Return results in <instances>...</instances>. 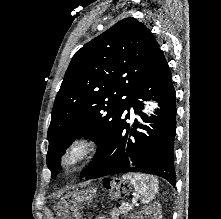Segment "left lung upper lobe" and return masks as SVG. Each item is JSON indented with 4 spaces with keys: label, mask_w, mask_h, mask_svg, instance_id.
Returning <instances> with one entry per match:
<instances>
[{
    "label": "left lung upper lobe",
    "mask_w": 221,
    "mask_h": 219,
    "mask_svg": "<svg viewBox=\"0 0 221 219\" xmlns=\"http://www.w3.org/2000/svg\"><path fill=\"white\" fill-rule=\"evenodd\" d=\"M158 49L144 24L126 18L75 53L57 93L47 134V166L52 178L60 171V157L66 148L76 138L88 135L98 149L81 175L85 176L102 153Z\"/></svg>",
    "instance_id": "1"
}]
</instances>
